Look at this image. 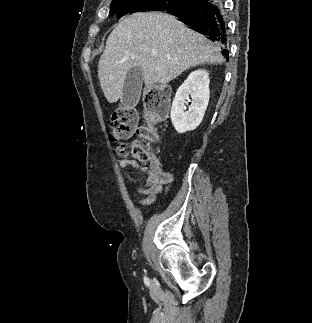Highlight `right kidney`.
<instances>
[{
	"label": "right kidney",
	"mask_w": 312,
	"mask_h": 323,
	"mask_svg": "<svg viewBox=\"0 0 312 323\" xmlns=\"http://www.w3.org/2000/svg\"><path fill=\"white\" fill-rule=\"evenodd\" d=\"M209 74L207 70H195L189 74L184 84L178 88L171 108L172 124L178 134H185L196 130L208 106ZM191 98L189 110L186 108L187 100Z\"/></svg>",
	"instance_id": "obj_1"
}]
</instances>
